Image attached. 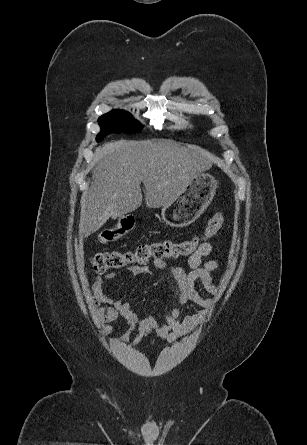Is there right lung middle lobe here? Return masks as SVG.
Masks as SVG:
<instances>
[{"mask_svg": "<svg viewBox=\"0 0 307 445\" xmlns=\"http://www.w3.org/2000/svg\"><path fill=\"white\" fill-rule=\"evenodd\" d=\"M98 123L101 127V132L96 138L98 142L110 133H137L142 129V125L123 110H113L102 115Z\"/></svg>", "mask_w": 307, "mask_h": 445, "instance_id": "obj_1", "label": "right lung middle lobe"}]
</instances>
